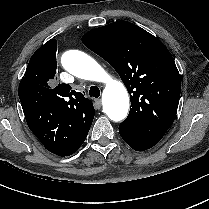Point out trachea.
I'll list each match as a JSON object with an SVG mask.
<instances>
[{
  "label": "trachea",
  "mask_w": 209,
  "mask_h": 209,
  "mask_svg": "<svg viewBox=\"0 0 209 209\" xmlns=\"http://www.w3.org/2000/svg\"><path fill=\"white\" fill-rule=\"evenodd\" d=\"M89 95L98 98L100 96V89L97 86H91L89 89Z\"/></svg>",
  "instance_id": "obj_1"
}]
</instances>
